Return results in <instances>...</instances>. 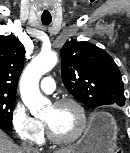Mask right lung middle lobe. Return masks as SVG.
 <instances>
[{
    "instance_id": "obj_1",
    "label": "right lung middle lobe",
    "mask_w": 130,
    "mask_h": 153,
    "mask_svg": "<svg viewBox=\"0 0 130 153\" xmlns=\"http://www.w3.org/2000/svg\"><path fill=\"white\" fill-rule=\"evenodd\" d=\"M15 97L0 95V127L12 131V116Z\"/></svg>"
}]
</instances>
